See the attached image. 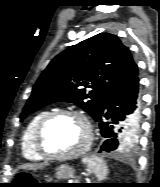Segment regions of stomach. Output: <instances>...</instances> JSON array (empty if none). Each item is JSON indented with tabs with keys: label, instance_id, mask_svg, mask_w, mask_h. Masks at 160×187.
I'll return each instance as SVG.
<instances>
[{
	"label": "stomach",
	"instance_id": "stomach-1",
	"mask_svg": "<svg viewBox=\"0 0 160 187\" xmlns=\"http://www.w3.org/2000/svg\"><path fill=\"white\" fill-rule=\"evenodd\" d=\"M74 175V168L68 164L60 165L56 170V176L59 179H69Z\"/></svg>",
	"mask_w": 160,
	"mask_h": 187
}]
</instances>
